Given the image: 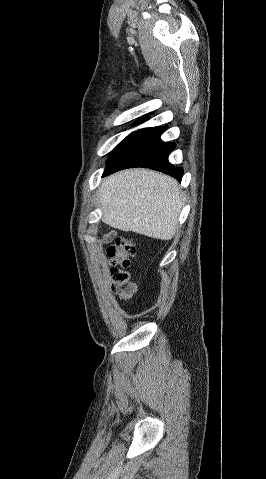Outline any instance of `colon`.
<instances>
[{
	"label": "colon",
	"instance_id": "obj_1",
	"mask_svg": "<svg viewBox=\"0 0 266 479\" xmlns=\"http://www.w3.org/2000/svg\"><path fill=\"white\" fill-rule=\"evenodd\" d=\"M110 235L106 236L109 240ZM134 243L126 237H116L113 244L107 247V255L111 262V278L116 291L130 287V274L127 271L131 264V257L135 254Z\"/></svg>",
	"mask_w": 266,
	"mask_h": 479
}]
</instances>
